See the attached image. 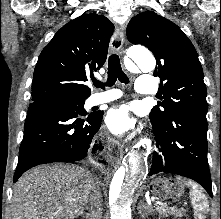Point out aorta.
Listing matches in <instances>:
<instances>
[{"label": "aorta", "instance_id": "762f6f07", "mask_svg": "<svg viewBox=\"0 0 221 219\" xmlns=\"http://www.w3.org/2000/svg\"><path fill=\"white\" fill-rule=\"evenodd\" d=\"M127 56L132 68L137 66L147 71L155 68V59L146 48H131ZM145 171V160L141 153L133 154L125 165L115 171L109 192L111 219H131V205Z\"/></svg>", "mask_w": 221, "mask_h": 219}]
</instances>
